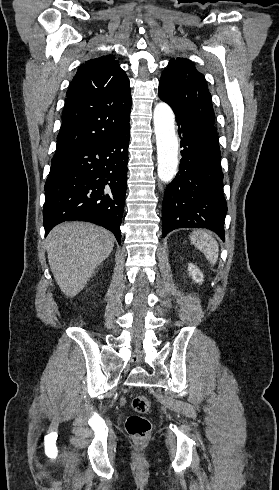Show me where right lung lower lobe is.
Masks as SVG:
<instances>
[{
    "mask_svg": "<svg viewBox=\"0 0 279 490\" xmlns=\"http://www.w3.org/2000/svg\"><path fill=\"white\" fill-rule=\"evenodd\" d=\"M129 129L52 161L44 186L45 236L59 223L80 220L110 230L121 243Z\"/></svg>",
    "mask_w": 279,
    "mask_h": 490,
    "instance_id": "98d812e1",
    "label": "right lung lower lobe"
}]
</instances>
